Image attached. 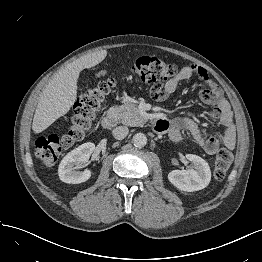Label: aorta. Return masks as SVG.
I'll return each mask as SVG.
<instances>
[{
    "label": "aorta",
    "instance_id": "1",
    "mask_svg": "<svg viewBox=\"0 0 262 262\" xmlns=\"http://www.w3.org/2000/svg\"><path fill=\"white\" fill-rule=\"evenodd\" d=\"M132 141L135 147L142 148L147 144V137L143 133H136Z\"/></svg>",
    "mask_w": 262,
    "mask_h": 262
}]
</instances>
